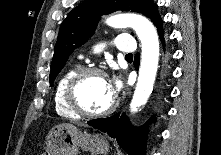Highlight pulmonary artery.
I'll return each mask as SVG.
<instances>
[{"instance_id":"1","label":"pulmonary artery","mask_w":221,"mask_h":155,"mask_svg":"<svg viewBox=\"0 0 221 155\" xmlns=\"http://www.w3.org/2000/svg\"><path fill=\"white\" fill-rule=\"evenodd\" d=\"M116 48L123 53H132L135 50V42L129 34H120L115 39Z\"/></svg>"}]
</instances>
